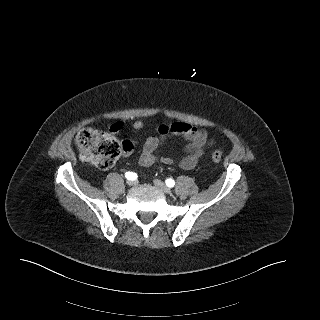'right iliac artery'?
<instances>
[{
	"label": "right iliac artery",
	"instance_id": "right-iliac-artery-1",
	"mask_svg": "<svg viewBox=\"0 0 320 320\" xmlns=\"http://www.w3.org/2000/svg\"><path fill=\"white\" fill-rule=\"evenodd\" d=\"M125 177L128 179V180H135L137 178V174L134 173V172H126L125 173Z\"/></svg>",
	"mask_w": 320,
	"mask_h": 320
}]
</instances>
